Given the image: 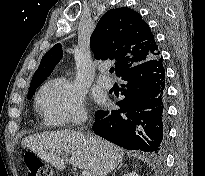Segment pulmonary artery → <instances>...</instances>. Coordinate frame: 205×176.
Masks as SVG:
<instances>
[{
    "mask_svg": "<svg viewBox=\"0 0 205 176\" xmlns=\"http://www.w3.org/2000/svg\"><path fill=\"white\" fill-rule=\"evenodd\" d=\"M97 81L102 87L105 88H111L113 86V80L108 76H99Z\"/></svg>",
    "mask_w": 205,
    "mask_h": 176,
    "instance_id": "e3ab8cb5",
    "label": "pulmonary artery"
}]
</instances>
